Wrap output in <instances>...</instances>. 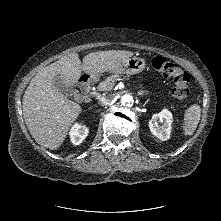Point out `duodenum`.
<instances>
[{
    "label": "duodenum",
    "mask_w": 221,
    "mask_h": 221,
    "mask_svg": "<svg viewBox=\"0 0 221 221\" xmlns=\"http://www.w3.org/2000/svg\"><path fill=\"white\" fill-rule=\"evenodd\" d=\"M78 86L82 91L86 99L90 98V77L88 75H82L79 78Z\"/></svg>",
    "instance_id": "410a0bca"
}]
</instances>
